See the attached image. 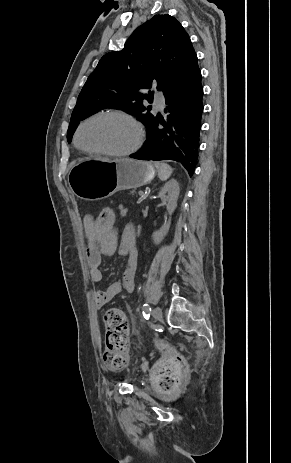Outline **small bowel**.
<instances>
[{
  "mask_svg": "<svg viewBox=\"0 0 291 463\" xmlns=\"http://www.w3.org/2000/svg\"><path fill=\"white\" fill-rule=\"evenodd\" d=\"M83 228L87 238L86 259L93 284L96 286L102 284L103 275L100 270L102 256H111L117 252L124 257L121 280L113 281L95 291L94 303L96 308L101 309L122 290L128 293L134 290L135 268L139 255L135 229L133 225H126L119 240L115 226H107V230L100 231L96 217L91 215L85 216Z\"/></svg>",
  "mask_w": 291,
  "mask_h": 463,
  "instance_id": "c3829d8e",
  "label": "small bowel"
}]
</instances>
